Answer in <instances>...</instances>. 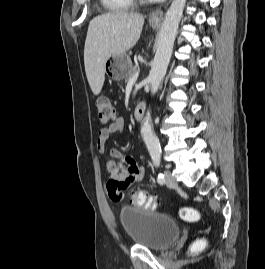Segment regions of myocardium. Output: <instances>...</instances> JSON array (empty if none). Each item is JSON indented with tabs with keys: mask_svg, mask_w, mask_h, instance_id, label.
I'll list each match as a JSON object with an SVG mask.
<instances>
[{
	"mask_svg": "<svg viewBox=\"0 0 265 269\" xmlns=\"http://www.w3.org/2000/svg\"><path fill=\"white\" fill-rule=\"evenodd\" d=\"M135 1H138V2H147L149 0H135Z\"/></svg>",
	"mask_w": 265,
	"mask_h": 269,
	"instance_id": "1",
	"label": "myocardium"
}]
</instances>
